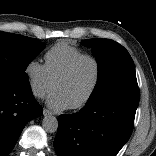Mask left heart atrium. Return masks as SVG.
<instances>
[{
    "mask_svg": "<svg viewBox=\"0 0 156 156\" xmlns=\"http://www.w3.org/2000/svg\"><path fill=\"white\" fill-rule=\"evenodd\" d=\"M47 104L54 111L66 110L71 107L64 96L56 90L48 97Z\"/></svg>",
    "mask_w": 156,
    "mask_h": 156,
    "instance_id": "39dd6f15",
    "label": "left heart atrium"
}]
</instances>
